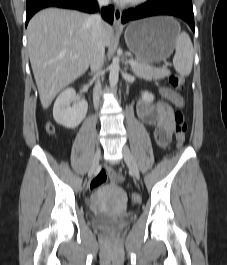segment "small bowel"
<instances>
[{"mask_svg": "<svg viewBox=\"0 0 227 265\" xmlns=\"http://www.w3.org/2000/svg\"><path fill=\"white\" fill-rule=\"evenodd\" d=\"M165 98H171L172 94L167 88L161 90ZM139 118L148 126L154 128V138L159 147H166L173 135V110L167 102L148 103L140 101L137 106ZM114 181L120 180V175L111 171Z\"/></svg>", "mask_w": 227, "mask_h": 265, "instance_id": "obj_1", "label": "small bowel"}]
</instances>
